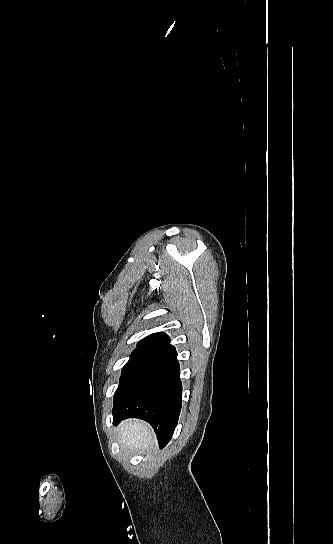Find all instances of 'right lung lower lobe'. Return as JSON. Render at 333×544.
Segmentation results:
<instances>
[{"mask_svg":"<svg viewBox=\"0 0 333 544\" xmlns=\"http://www.w3.org/2000/svg\"><path fill=\"white\" fill-rule=\"evenodd\" d=\"M182 383L175 347L169 342L148 357L114 396L113 424L126 418L148 422L159 446L172 438L181 411Z\"/></svg>","mask_w":333,"mask_h":544,"instance_id":"obj_1","label":"right lung lower lobe"}]
</instances>
